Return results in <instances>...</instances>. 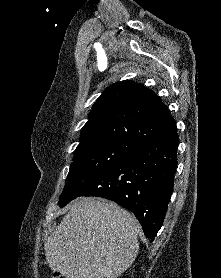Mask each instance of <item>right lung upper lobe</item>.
<instances>
[{
	"mask_svg": "<svg viewBox=\"0 0 221 278\" xmlns=\"http://www.w3.org/2000/svg\"><path fill=\"white\" fill-rule=\"evenodd\" d=\"M174 131V119L154 92L127 80L111 85L97 99L78 146L96 140L136 144Z\"/></svg>",
	"mask_w": 221,
	"mask_h": 278,
	"instance_id": "1",
	"label": "right lung upper lobe"
}]
</instances>
